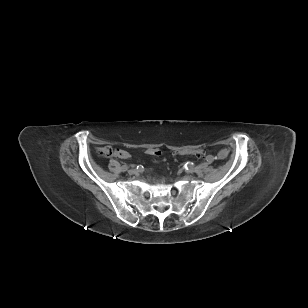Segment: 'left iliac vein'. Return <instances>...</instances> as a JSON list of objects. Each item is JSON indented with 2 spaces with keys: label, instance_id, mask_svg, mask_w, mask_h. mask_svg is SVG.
I'll return each mask as SVG.
<instances>
[{
  "label": "left iliac vein",
  "instance_id": "1",
  "mask_svg": "<svg viewBox=\"0 0 308 308\" xmlns=\"http://www.w3.org/2000/svg\"><path fill=\"white\" fill-rule=\"evenodd\" d=\"M186 172L189 173V174H191V173L194 172V168L191 167V168L187 169Z\"/></svg>",
  "mask_w": 308,
  "mask_h": 308
}]
</instances>
